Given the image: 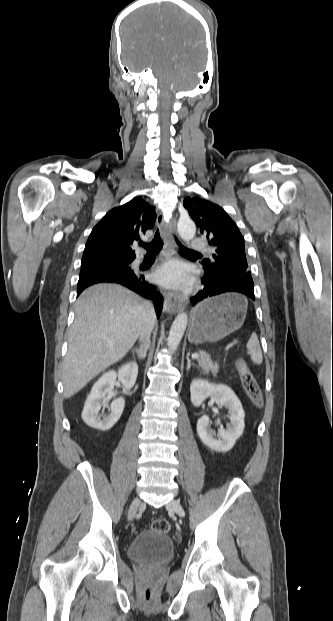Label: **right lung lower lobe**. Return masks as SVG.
<instances>
[{
    "label": "right lung lower lobe",
    "mask_w": 333,
    "mask_h": 621,
    "mask_svg": "<svg viewBox=\"0 0 333 621\" xmlns=\"http://www.w3.org/2000/svg\"><path fill=\"white\" fill-rule=\"evenodd\" d=\"M104 282L121 284L145 298L154 299L156 314L159 318L163 307L161 294L154 285L145 281L144 275L132 270L130 266L102 264L81 268L77 296L88 286Z\"/></svg>",
    "instance_id": "obj_1"
}]
</instances>
